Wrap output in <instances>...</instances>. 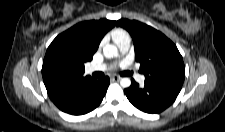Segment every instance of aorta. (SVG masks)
<instances>
[{
    "instance_id": "1",
    "label": "aorta",
    "mask_w": 225,
    "mask_h": 132,
    "mask_svg": "<svg viewBox=\"0 0 225 132\" xmlns=\"http://www.w3.org/2000/svg\"><path fill=\"white\" fill-rule=\"evenodd\" d=\"M103 55L106 58L116 57L118 55V49L115 45L107 44L103 47ZM120 85L123 88H128L131 85V80L129 78L124 77L120 80Z\"/></svg>"
}]
</instances>
